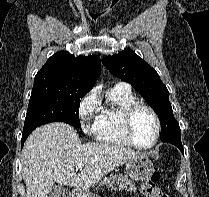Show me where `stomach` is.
Wrapping results in <instances>:
<instances>
[{
  "mask_svg": "<svg viewBox=\"0 0 209 197\" xmlns=\"http://www.w3.org/2000/svg\"><path fill=\"white\" fill-rule=\"evenodd\" d=\"M126 172L132 180L147 181L154 172V166L147 155L140 153L127 161ZM79 197L95 196L89 192H83Z\"/></svg>",
  "mask_w": 209,
  "mask_h": 197,
  "instance_id": "stomach-1",
  "label": "stomach"
}]
</instances>
